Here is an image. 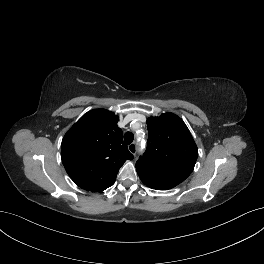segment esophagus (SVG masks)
<instances>
[{"instance_id": "34e87169", "label": "esophagus", "mask_w": 264, "mask_h": 264, "mask_svg": "<svg viewBox=\"0 0 264 264\" xmlns=\"http://www.w3.org/2000/svg\"><path fill=\"white\" fill-rule=\"evenodd\" d=\"M128 150L133 155H136V152H137V146H136V144L135 143H131L130 145H128Z\"/></svg>"}]
</instances>
